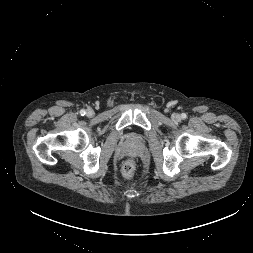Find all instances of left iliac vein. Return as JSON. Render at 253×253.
Returning a JSON list of instances; mask_svg holds the SVG:
<instances>
[{
    "mask_svg": "<svg viewBox=\"0 0 253 253\" xmlns=\"http://www.w3.org/2000/svg\"><path fill=\"white\" fill-rule=\"evenodd\" d=\"M172 118L174 121H179L181 119L179 114H173Z\"/></svg>",
    "mask_w": 253,
    "mask_h": 253,
    "instance_id": "obj_1",
    "label": "left iliac vein"
}]
</instances>
